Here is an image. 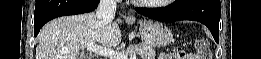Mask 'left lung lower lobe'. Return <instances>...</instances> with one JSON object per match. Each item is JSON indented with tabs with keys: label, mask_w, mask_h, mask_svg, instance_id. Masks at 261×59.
Listing matches in <instances>:
<instances>
[{
	"label": "left lung lower lobe",
	"mask_w": 261,
	"mask_h": 59,
	"mask_svg": "<svg viewBox=\"0 0 261 59\" xmlns=\"http://www.w3.org/2000/svg\"><path fill=\"white\" fill-rule=\"evenodd\" d=\"M220 0H176L164 10L135 8L146 17L172 22L194 20L203 23L211 31L216 42L219 41Z\"/></svg>",
	"instance_id": "obj_1"
}]
</instances>
